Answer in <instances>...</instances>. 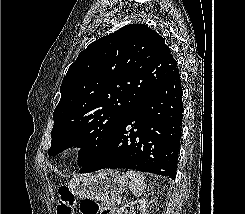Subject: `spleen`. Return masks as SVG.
Masks as SVG:
<instances>
[{
  "label": "spleen",
  "instance_id": "1",
  "mask_svg": "<svg viewBox=\"0 0 245 214\" xmlns=\"http://www.w3.org/2000/svg\"><path fill=\"white\" fill-rule=\"evenodd\" d=\"M126 175L131 179V191L132 194L136 197L140 196L145 189V177L143 174L136 171H127Z\"/></svg>",
  "mask_w": 245,
  "mask_h": 214
}]
</instances>
